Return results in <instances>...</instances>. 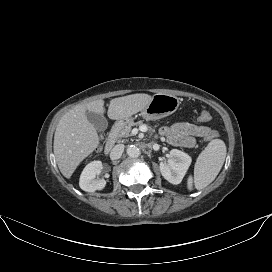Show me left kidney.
<instances>
[{
    "label": "left kidney",
    "mask_w": 272,
    "mask_h": 272,
    "mask_svg": "<svg viewBox=\"0 0 272 272\" xmlns=\"http://www.w3.org/2000/svg\"><path fill=\"white\" fill-rule=\"evenodd\" d=\"M191 157L183 151L172 149L168 163L161 162L159 167L162 176L171 184H180L191 165Z\"/></svg>",
    "instance_id": "5707ae66"
}]
</instances>
